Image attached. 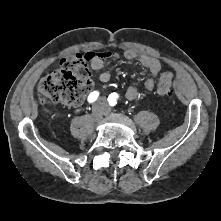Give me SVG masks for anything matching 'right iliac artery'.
Segmentation results:
<instances>
[{
  "mask_svg": "<svg viewBox=\"0 0 221 221\" xmlns=\"http://www.w3.org/2000/svg\"><path fill=\"white\" fill-rule=\"evenodd\" d=\"M98 96H99V92L98 91L91 92L89 94V96H88V102L89 103L95 102L97 100Z\"/></svg>",
  "mask_w": 221,
  "mask_h": 221,
  "instance_id": "right-iliac-artery-1",
  "label": "right iliac artery"
}]
</instances>
